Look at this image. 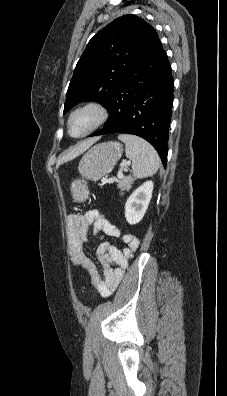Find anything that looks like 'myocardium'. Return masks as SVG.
Instances as JSON below:
<instances>
[{
	"label": "myocardium",
	"mask_w": 227,
	"mask_h": 396,
	"mask_svg": "<svg viewBox=\"0 0 227 396\" xmlns=\"http://www.w3.org/2000/svg\"><path fill=\"white\" fill-rule=\"evenodd\" d=\"M82 113L91 114L93 116V120L84 133L75 136L71 133V121L76 115ZM108 118L109 110L103 103L97 100L85 101L70 111L66 121L67 132L72 138H84L105 124Z\"/></svg>",
	"instance_id": "f54148a6"
}]
</instances>
